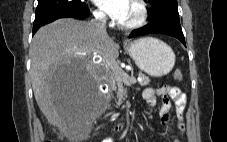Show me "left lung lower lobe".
Returning a JSON list of instances; mask_svg holds the SVG:
<instances>
[{
  "instance_id": "left-lung-lower-lobe-1",
  "label": "left lung lower lobe",
  "mask_w": 227,
  "mask_h": 142,
  "mask_svg": "<svg viewBox=\"0 0 227 142\" xmlns=\"http://www.w3.org/2000/svg\"><path fill=\"white\" fill-rule=\"evenodd\" d=\"M152 33L166 34L175 37L186 46L180 22L168 19L151 21L149 25L132 31V33L129 35V38Z\"/></svg>"
}]
</instances>
